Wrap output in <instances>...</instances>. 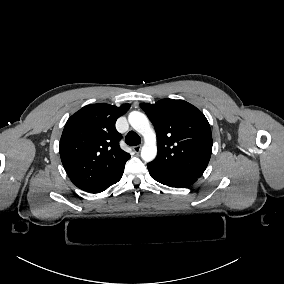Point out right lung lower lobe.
<instances>
[{"label":"right lung lower lobe","instance_id":"right-lung-lower-lobe-1","mask_svg":"<svg viewBox=\"0 0 284 284\" xmlns=\"http://www.w3.org/2000/svg\"><path fill=\"white\" fill-rule=\"evenodd\" d=\"M123 171H124V168L119 173H117L109 182H107L106 184H104L103 186H101L100 188H98L92 193L102 192L106 190L108 187H110L111 185L117 183L121 179Z\"/></svg>","mask_w":284,"mask_h":284}]
</instances>
